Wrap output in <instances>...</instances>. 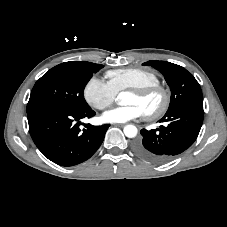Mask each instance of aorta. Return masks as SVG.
Here are the masks:
<instances>
[{"mask_svg":"<svg viewBox=\"0 0 227 227\" xmlns=\"http://www.w3.org/2000/svg\"><path fill=\"white\" fill-rule=\"evenodd\" d=\"M123 131L125 136L128 138H134L137 135V128L134 125H126Z\"/></svg>","mask_w":227,"mask_h":227,"instance_id":"762f6f07","label":"aorta"}]
</instances>
